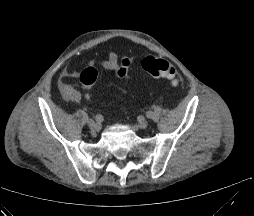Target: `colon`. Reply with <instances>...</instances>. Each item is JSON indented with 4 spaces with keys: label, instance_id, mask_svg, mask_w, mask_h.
I'll return each mask as SVG.
<instances>
[{
    "label": "colon",
    "instance_id": "obj_1",
    "mask_svg": "<svg viewBox=\"0 0 254 216\" xmlns=\"http://www.w3.org/2000/svg\"><path fill=\"white\" fill-rule=\"evenodd\" d=\"M143 69L153 78L166 79L173 87H178L182 83V78L176 68L167 60L155 57H146L142 61ZM99 71L94 67L86 68L80 74V82L86 87H92L98 79Z\"/></svg>",
    "mask_w": 254,
    "mask_h": 216
}]
</instances>
